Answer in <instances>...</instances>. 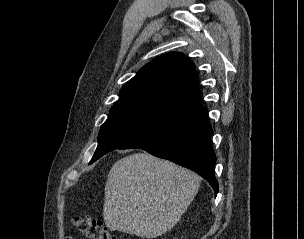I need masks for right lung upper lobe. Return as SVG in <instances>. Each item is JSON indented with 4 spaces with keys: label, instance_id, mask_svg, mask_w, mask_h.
<instances>
[{
    "label": "right lung upper lobe",
    "instance_id": "right-lung-upper-lobe-1",
    "mask_svg": "<svg viewBox=\"0 0 304 239\" xmlns=\"http://www.w3.org/2000/svg\"><path fill=\"white\" fill-rule=\"evenodd\" d=\"M119 96L110 112L140 110L172 120L203 106L195 65L178 52L150 61Z\"/></svg>",
    "mask_w": 304,
    "mask_h": 239
}]
</instances>
